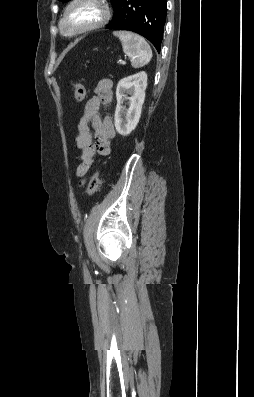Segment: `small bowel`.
Instances as JSON below:
<instances>
[{"mask_svg":"<svg viewBox=\"0 0 254 397\" xmlns=\"http://www.w3.org/2000/svg\"><path fill=\"white\" fill-rule=\"evenodd\" d=\"M112 85L108 78L97 83L95 94L87 101L77 124L75 142L81 150L80 163L76 169L79 185H83L85 176L93 166L95 154L105 156L111 150V140L116 134L114 124L111 116L102 118L99 110L101 105H108L112 101ZM90 128L94 130V140Z\"/></svg>","mask_w":254,"mask_h":397,"instance_id":"obj_1","label":"small bowel"}]
</instances>
